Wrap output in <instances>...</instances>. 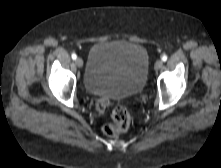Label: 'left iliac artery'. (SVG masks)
I'll return each mask as SVG.
<instances>
[{"label": "left iliac artery", "instance_id": "1", "mask_svg": "<svg viewBox=\"0 0 221 168\" xmlns=\"http://www.w3.org/2000/svg\"><path fill=\"white\" fill-rule=\"evenodd\" d=\"M162 61H164V62L167 61V56L166 55L162 56Z\"/></svg>", "mask_w": 221, "mask_h": 168}]
</instances>
